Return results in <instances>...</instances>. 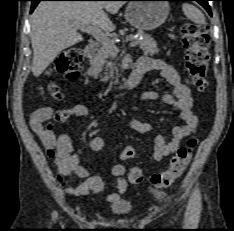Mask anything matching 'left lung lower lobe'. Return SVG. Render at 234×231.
<instances>
[{
    "label": "left lung lower lobe",
    "instance_id": "obj_1",
    "mask_svg": "<svg viewBox=\"0 0 234 231\" xmlns=\"http://www.w3.org/2000/svg\"><path fill=\"white\" fill-rule=\"evenodd\" d=\"M130 1V0H127ZM169 1H197L198 3H200L206 10L207 12L212 15L211 10H210V6L208 4L209 0H169Z\"/></svg>",
    "mask_w": 234,
    "mask_h": 231
}]
</instances>
